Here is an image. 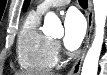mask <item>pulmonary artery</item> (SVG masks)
Returning a JSON list of instances; mask_svg holds the SVG:
<instances>
[{"mask_svg": "<svg viewBox=\"0 0 107 75\" xmlns=\"http://www.w3.org/2000/svg\"><path fill=\"white\" fill-rule=\"evenodd\" d=\"M70 0H45L37 7V12L40 14L46 12L50 8L67 5Z\"/></svg>", "mask_w": 107, "mask_h": 75, "instance_id": "pulmonary-artery-1", "label": "pulmonary artery"}]
</instances>
